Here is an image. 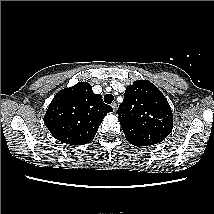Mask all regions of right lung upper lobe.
I'll return each mask as SVG.
<instances>
[{"label": "right lung upper lobe", "mask_w": 214, "mask_h": 214, "mask_svg": "<svg viewBox=\"0 0 214 214\" xmlns=\"http://www.w3.org/2000/svg\"><path fill=\"white\" fill-rule=\"evenodd\" d=\"M113 109L94 94L88 82H79L59 91L51 101L44 123L52 136L69 145L93 140L103 118Z\"/></svg>", "instance_id": "right-lung-upper-lobe-1"}]
</instances>
